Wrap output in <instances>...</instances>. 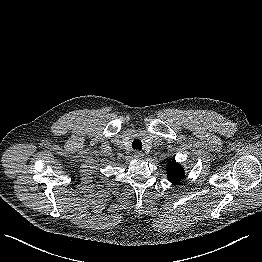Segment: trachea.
I'll list each match as a JSON object with an SVG mask.
<instances>
[{"instance_id": "3493384b", "label": "trachea", "mask_w": 262, "mask_h": 262, "mask_svg": "<svg viewBox=\"0 0 262 262\" xmlns=\"http://www.w3.org/2000/svg\"><path fill=\"white\" fill-rule=\"evenodd\" d=\"M132 148H133V149L141 150V149H142V142H141L139 139H135V140L132 142Z\"/></svg>"}]
</instances>
